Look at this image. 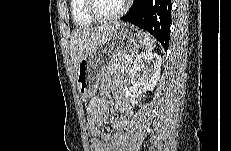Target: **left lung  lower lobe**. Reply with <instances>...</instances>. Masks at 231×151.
Masks as SVG:
<instances>
[{"label": "left lung lower lobe", "mask_w": 231, "mask_h": 151, "mask_svg": "<svg viewBox=\"0 0 231 151\" xmlns=\"http://www.w3.org/2000/svg\"><path fill=\"white\" fill-rule=\"evenodd\" d=\"M171 9V0H134L130 11L121 20L148 31L167 50Z\"/></svg>", "instance_id": "obj_1"}]
</instances>
